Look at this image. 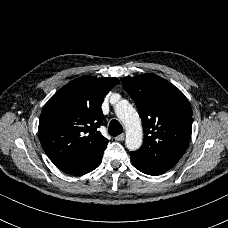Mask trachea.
<instances>
[{
  "label": "trachea",
  "mask_w": 228,
  "mask_h": 228,
  "mask_svg": "<svg viewBox=\"0 0 228 228\" xmlns=\"http://www.w3.org/2000/svg\"><path fill=\"white\" fill-rule=\"evenodd\" d=\"M123 132V127L121 125V123L118 120L113 119L110 123H109V128H108V133L115 137L118 136L119 134H121Z\"/></svg>",
  "instance_id": "obj_1"
}]
</instances>
